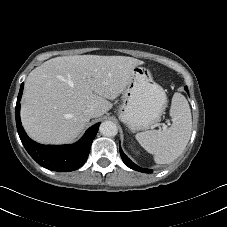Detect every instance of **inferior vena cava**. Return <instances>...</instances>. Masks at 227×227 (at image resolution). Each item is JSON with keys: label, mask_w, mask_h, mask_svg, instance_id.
Returning <instances> with one entry per match:
<instances>
[{"label": "inferior vena cava", "mask_w": 227, "mask_h": 227, "mask_svg": "<svg viewBox=\"0 0 227 227\" xmlns=\"http://www.w3.org/2000/svg\"><path fill=\"white\" fill-rule=\"evenodd\" d=\"M85 114L90 117V118H93V117H96L97 116V111L94 107H88L86 110H85Z\"/></svg>", "instance_id": "obj_1"}]
</instances>
